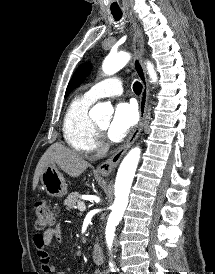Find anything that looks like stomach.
<instances>
[{
    "label": "stomach",
    "mask_w": 215,
    "mask_h": 274,
    "mask_svg": "<svg viewBox=\"0 0 215 274\" xmlns=\"http://www.w3.org/2000/svg\"><path fill=\"white\" fill-rule=\"evenodd\" d=\"M40 179L43 189L50 196L62 197L67 194V184L55 164L48 165L42 172Z\"/></svg>",
    "instance_id": "0dacf381"
}]
</instances>
